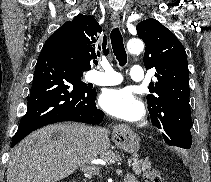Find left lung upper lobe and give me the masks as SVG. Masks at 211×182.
Returning a JSON list of instances; mask_svg holds the SVG:
<instances>
[{
	"label": "left lung upper lobe",
	"mask_w": 211,
	"mask_h": 182,
	"mask_svg": "<svg viewBox=\"0 0 211 182\" xmlns=\"http://www.w3.org/2000/svg\"><path fill=\"white\" fill-rule=\"evenodd\" d=\"M145 43V68L155 69L157 82L147 95L151 122L170 146L193 149L186 52L177 37L159 21L149 18L136 26Z\"/></svg>",
	"instance_id": "1"
}]
</instances>
